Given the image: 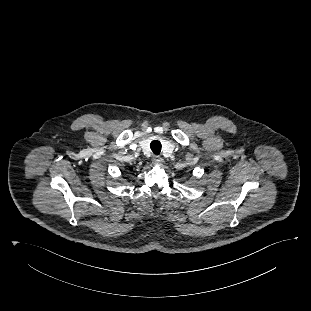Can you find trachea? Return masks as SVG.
I'll return each instance as SVG.
<instances>
[{
  "mask_svg": "<svg viewBox=\"0 0 311 311\" xmlns=\"http://www.w3.org/2000/svg\"><path fill=\"white\" fill-rule=\"evenodd\" d=\"M161 143L157 140H154L150 143V148L154 154L159 155L161 152Z\"/></svg>",
  "mask_w": 311,
  "mask_h": 311,
  "instance_id": "3493384b",
  "label": "trachea"
}]
</instances>
